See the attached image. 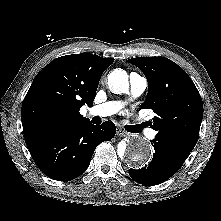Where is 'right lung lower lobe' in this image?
<instances>
[{
	"label": "right lung lower lobe",
	"mask_w": 221,
	"mask_h": 221,
	"mask_svg": "<svg viewBox=\"0 0 221 221\" xmlns=\"http://www.w3.org/2000/svg\"><path fill=\"white\" fill-rule=\"evenodd\" d=\"M116 133L114 123L90 122L55 130L26 140V145L39 169L58 181H70L88 168L95 148L111 140Z\"/></svg>",
	"instance_id": "98d812e1"
}]
</instances>
